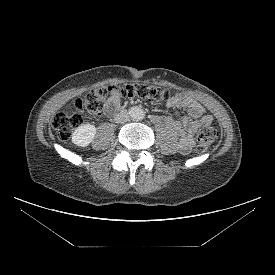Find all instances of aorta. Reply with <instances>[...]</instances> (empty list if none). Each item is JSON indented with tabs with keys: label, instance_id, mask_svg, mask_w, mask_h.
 <instances>
[{
	"label": "aorta",
	"instance_id": "aorta-1",
	"mask_svg": "<svg viewBox=\"0 0 275 275\" xmlns=\"http://www.w3.org/2000/svg\"><path fill=\"white\" fill-rule=\"evenodd\" d=\"M129 115L133 120L139 121L144 118V111L140 107L134 106L130 108Z\"/></svg>",
	"mask_w": 275,
	"mask_h": 275
}]
</instances>
